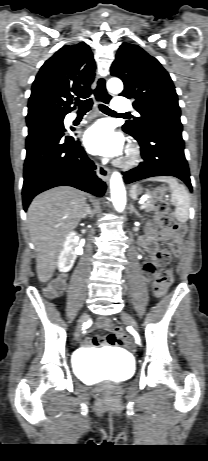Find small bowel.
<instances>
[{"label": "small bowel", "instance_id": "c3829d8e", "mask_svg": "<svg viewBox=\"0 0 208 461\" xmlns=\"http://www.w3.org/2000/svg\"><path fill=\"white\" fill-rule=\"evenodd\" d=\"M171 234L172 233L169 231L168 226H165L164 230H159L152 224H149L146 234L141 238L140 243L150 254L157 255L159 253V242L169 240ZM155 270V266H150L148 263H146L143 268V273L147 278H151L155 274ZM57 281L64 283L65 277L59 276ZM96 328L110 329L111 323L109 320L104 319L96 325ZM83 343L85 345L94 344L97 346L102 345L103 343H107L106 347L108 351H118L120 347L119 344L121 343V336H117L116 332H108L105 338L96 337L93 340L85 339Z\"/></svg>", "mask_w": 208, "mask_h": 461}]
</instances>
